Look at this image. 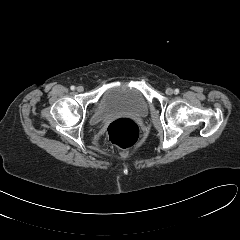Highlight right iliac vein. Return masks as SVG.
<instances>
[{
	"mask_svg": "<svg viewBox=\"0 0 240 240\" xmlns=\"http://www.w3.org/2000/svg\"><path fill=\"white\" fill-rule=\"evenodd\" d=\"M76 90H77L78 92H83V91H84V88H83V86H78V87L76 88Z\"/></svg>",
	"mask_w": 240,
	"mask_h": 240,
	"instance_id": "63e3f726",
	"label": "right iliac vein"
}]
</instances>
